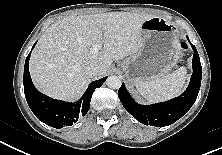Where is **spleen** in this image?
Instances as JSON below:
<instances>
[{
    "label": "spleen",
    "mask_w": 222,
    "mask_h": 155,
    "mask_svg": "<svg viewBox=\"0 0 222 155\" xmlns=\"http://www.w3.org/2000/svg\"><path fill=\"white\" fill-rule=\"evenodd\" d=\"M186 68L180 67L175 72L160 78L139 81L136 88L149 102H161L178 96L185 85Z\"/></svg>",
    "instance_id": "obj_1"
}]
</instances>
